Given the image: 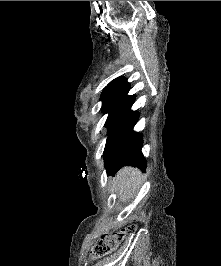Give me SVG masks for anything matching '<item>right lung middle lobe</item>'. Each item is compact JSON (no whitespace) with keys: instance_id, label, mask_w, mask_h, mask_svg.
I'll return each mask as SVG.
<instances>
[{"instance_id":"dd1d6c3e","label":"right lung middle lobe","mask_w":221,"mask_h":266,"mask_svg":"<svg viewBox=\"0 0 221 266\" xmlns=\"http://www.w3.org/2000/svg\"><path fill=\"white\" fill-rule=\"evenodd\" d=\"M129 89L130 87L107 89L104 90L101 95L100 100L102 101V112L109 113L105 123V126L108 127V139L134 103V95H127Z\"/></svg>"}]
</instances>
